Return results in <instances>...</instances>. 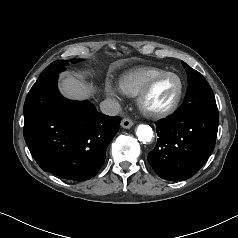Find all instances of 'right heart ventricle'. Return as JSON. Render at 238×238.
<instances>
[{
  "label": "right heart ventricle",
  "mask_w": 238,
  "mask_h": 238,
  "mask_svg": "<svg viewBox=\"0 0 238 238\" xmlns=\"http://www.w3.org/2000/svg\"><path fill=\"white\" fill-rule=\"evenodd\" d=\"M165 70L157 67H138L123 73L119 78L120 90L129 97H137L149 81Z\"/></svg>",
  "instance_id": "e07e8e85"
}]
</instances>
